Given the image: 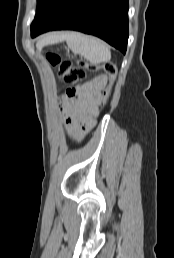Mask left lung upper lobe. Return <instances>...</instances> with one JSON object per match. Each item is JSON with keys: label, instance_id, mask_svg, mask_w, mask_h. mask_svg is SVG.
I'll return each instance as SVG.
<instances>
[{"label": "left lung upper lobe", "instance_id": "1", "mask_svg": "<svg viewBox=\"0 0 174 258\" xmlns=\"http://www.w3.org/2000/svg\"><path fill=\"white\" fill-rule=\"evenodd\" d=\"M56 2L57 0H37L36 15L31 24V32L38 28Z\"/></svg>", "mask_w": 174, "mask_h": 258}]
</instances>
